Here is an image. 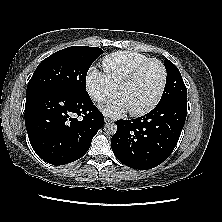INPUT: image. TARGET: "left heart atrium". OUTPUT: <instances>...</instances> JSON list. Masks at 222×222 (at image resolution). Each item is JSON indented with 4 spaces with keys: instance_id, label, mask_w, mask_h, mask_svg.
Segmentation results:
<instances>
[{
    "instance_id": "left-heart-atrium-1",
    "label": "left heart atrium",
    "mask_w": 222,
    "mask_h": 222,
    "mask_svg": "<svg viewBox=\"0 0 222 222\" xmlns=\"http://www.w3.org/2000/svg\"><path fill=\"white\" fill-rule=\"evenodd\" d=\"M102 111L109 116H120L129 110L125 99L119 94L101 106Z\"/></svg>"
}]
</instances>
